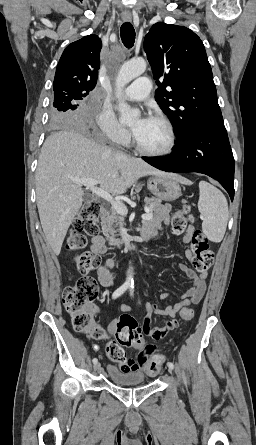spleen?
<instances>
[{"label": "spleen", "instance_id": "obj_1", "mask_svg": "<svg viewBox=\"0 0 256 445\" xmlns=\"http://www.w3.org/2000/svg\"><path fill=\"white\" fill-rule=\"evenodd\" d=\"M198 209L203 216V233L212 242H220L224 237L229 217L225 196L215 186L200 181Z\"/></svg>", "mask_w": 256, "mask_h": 445}]
</instances>
